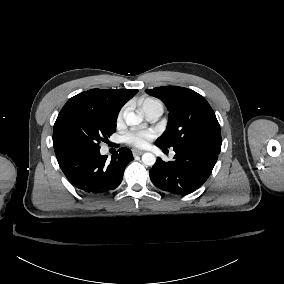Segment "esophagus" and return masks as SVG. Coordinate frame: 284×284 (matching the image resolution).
<instances>
[{"mask_svg": "<svg viewBox=\"0 0 284 284\" xmlns=\"http://www.w3.org/2000/svg\"><path fill=\"white\" fill-rule=\"evenodd\" d=\"M144 153V151H141V150H138V149H133L132 150V154L134 156H137V155H142Z\"/></svg>", "mask_w": 284, "mask_h": 284, "instance_id": "34e87169", "label": "esophagus"}]
</instances>
